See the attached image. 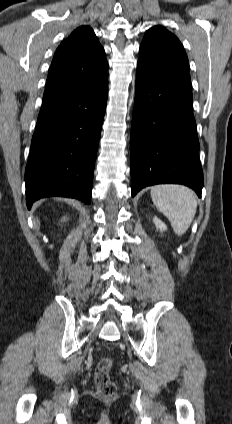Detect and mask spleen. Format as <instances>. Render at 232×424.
<instances>
[{"label": "spleen", "instance_id": "obj_1", "mask_svg": "<svg viewBox=\"0 0 232 424\" xmlns=\"http://www.w3.org/2000/svg\"><path fill=\"white\" fill-rule=\"evenodd\" d=\"M150 195L157 209L169 219L174 232L183 235L196 213L195 193L183 185L163 184L152 187Z\"/></svg>", "mask_w": 232, "mask_h": 424}]
</instances>
